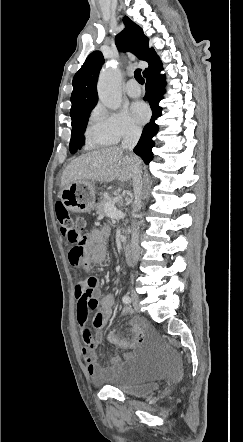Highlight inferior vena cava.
<instances>
[{
	"instance_id": "obj_1",
	"label": "inferior vena cava",
	"mask_w": 243,
	"mask_h": 442,
	"mask_svg": "<svg viewBox=\"0 0 243 442\" xmlns=\"http://www.w3.org/2000/svg\"><path fill=\"white\" fill-rule=\"evenodd\" d=\"M141 132H142L141 128L136 126H130L128 132L126 133L122 141L121 148L129 151L131 153V156L133 148L136 146L141 136ZM142 187H143L142 171L140 165L137 164L134 168V173H133V188H134L135 197L138 198L139 200V204L141 203ZM139 226L140 222L135 224L131 240V256L134 263L138 260L140 254Z\"/></svg>"
}]
</instances>
